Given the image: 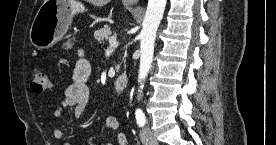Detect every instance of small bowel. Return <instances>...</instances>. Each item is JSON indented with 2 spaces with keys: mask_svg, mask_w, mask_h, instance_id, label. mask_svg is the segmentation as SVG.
Returning <instances> with one entry per match:
<instances>
[{
  "mask_svg": "<svg viewBox=\"0 0 276 145\" xmlns=\"http://www.w3.org/2000/svg\"><path fill=\"white\" fill-rule=\"evenodd\" d=\"M91 74L90 62L81 57L75 64L73 70V83L67 87L63 99L60 101L54 110V116L60 118L63 116L67 108L72 109V118L80 119L86 112L90 98V90L87 85V80ZM105 126L110 131L117 132L118 145H128V140L122 132L119 131L118 119L114 116H109L105 120ZM54 138L62 140L65 136L64 129L58 127L53 131ZM65 145H70L68 142ZM107 145H112L108 143Z\"/></svg>",
  "mask_w": 276,
  "mask_h": 145,
  "instance_id": "small-bowel-1",
  "label": "small bowel"
}]
</instances>
